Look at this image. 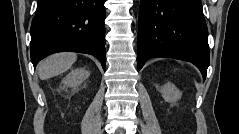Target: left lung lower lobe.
I'll list each match as a JSON object with an SVG mask.
<instances>
[{
	"instance_id": "obj_1",
	"label": "left lung lower lobe",
	"mask_w": 239,
	"mask_h": 134,
	"mask_svg": "<svg viewBox=\"0 0 239 134\" xmlns=\"http://www.w3.org/2000/svg\"><path fill=\"white\" fill-rule=\"evenodd\" d=\"M137 61L174 58L193 63L206 77L209 66L207 26L201 0H141Z\"/></svg>"
}]
</instances>
